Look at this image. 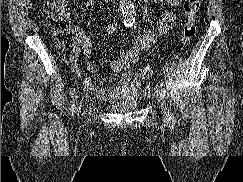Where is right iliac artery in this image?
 <instances>
[{
  "instance_id": "right-iliac-artery-1",
  "label": "right iliac artery",
  "mask_w": 243,
  "mask_h": 182,
  "mask_svg": "<svg viewBox=\"0 0 243 182\" xmlns=\"http://www.w3.org/2000/svg\"><path fill=\"white\" fill-rule=\"evenodd\" d=\"M125 26H128V24H125ZM78 96H75V99H73V104L71 107V115H74L75 109H76V100H77Z\"/></svg>"
}]
</instances>
